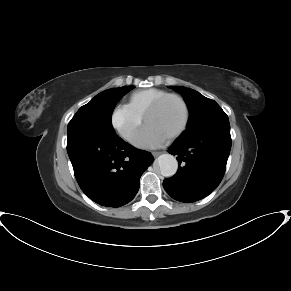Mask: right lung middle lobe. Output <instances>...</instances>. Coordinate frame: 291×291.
I'll list each match as a JSON object with an SVG mask.
<instances>
[{
	"mask_svg": "<svg viewBox=\"0 0 291 291\" xmlns=\"http://www.w3.org/2000/svg\"><path fill=\"white\" fill-rule=\"evenodd\" d=\"M134 86L108 89L96 95L82 106L68 124L67 132L86 131L99 134H114L111 115L117 102Z\"/></svg>",
	"mask_w": 291,
	"mask_h": 291,
	"instance_id": "dd1d6c3e",
	"label": "right lung middle lobe"
}]
</instances>
